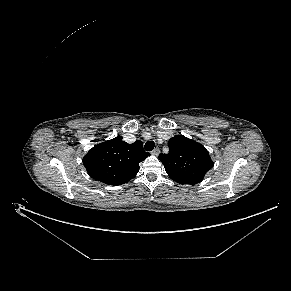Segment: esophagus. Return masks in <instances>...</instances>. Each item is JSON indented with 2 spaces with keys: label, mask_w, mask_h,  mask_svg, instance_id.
I'll return each instance as SVG.
<instances>
[{
  "label": "esophagus",
  "mask_w": 291,
  "mask_h": 291,
  "mask_svg": "<svg viewBox=\"0 0 291 291\" xmlns=\"http://www.w3.org/2000/svg\"><path fill=\"white\" fill-rule=\"evenodd\" d=\"M159 153H160L159 148H155V149L152 151V154L155 155V156H158Z\"/></svg>",
  "instance_id": "esophagus-1"
}]
</instances>
